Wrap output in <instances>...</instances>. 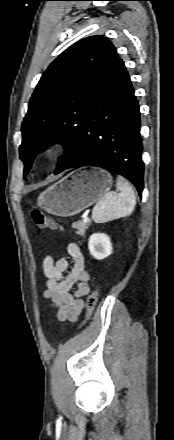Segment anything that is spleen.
Wrapping results in <instances>:
<instances>
[{
	"label": "spleen",
	"mask_w": 174,
	"mask_h": 440,
	"mask_svg": "<svg viewBox=\"0 0 174 440\" xmlns=\"http://www.w3.org/2000/svg\"><path fill=\"white\" fill-rule=\"evenodd\" d=\"M117 191L106 193L95 205L92 218L96 223H106L131 215L136 205V197L129 182L117 177Z\"/></svg>",
	"instance_id": "1"
}]
</instances>
